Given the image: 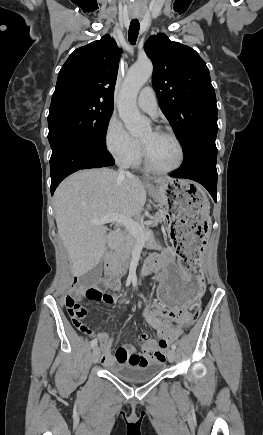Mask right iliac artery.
Instances as JSON below:
<instances>
[{"mask_svg":"<svg viewBox=\"0 0 263 435\" xmlns=\"http://www.w3.org/2000/svg\"><path fill=\"white\" fill-rule=\"evenodd\" d=\"M97 345V339L91 341V347L94 348Z\"/></svg>","mask_w":263,"mask_h":435,"instance_id":"right-iliac-artery-1","label":"right iliac artery"}]
</instances>
